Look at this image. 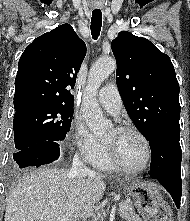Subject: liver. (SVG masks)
<instances>
[{
	"label": "liver",
	"instance_id": "1",
	"mask_svg": "<svg viewBox=\"0 0 190 221\" xmlns=\"http://www.w3.org/2000/svg\"><path fill=\"white\" fill-rule=\"evenodd\" d=\"M105 176H71L67 169L24 172L12 185L4 221H78L89 217L105 192Z\"/></svg>",
	"mask_w": 190,
	"mask_h": 221
}]
</instances>
